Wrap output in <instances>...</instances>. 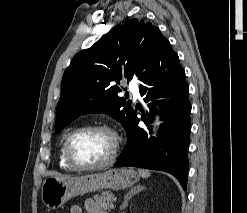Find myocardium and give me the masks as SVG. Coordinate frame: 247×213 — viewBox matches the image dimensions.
<instances>
[{
	"instance_id": "myocardium-1",
	"label": "myocardium",
	"mask_w": 247,
	"mask_h": 213,
	"mask_svg": "<svg viewBox=\"0 0 247 213\" xmlns=\"http://www.w3.org/2000/svg\"><path fill=\"white\" fill-rule=\"evenodd\" d=\"M92 131H103V132H107L111 134L114 138V147H113V151L111 155L105 161L100 162V163H94V164H85V163L78 161L75 158L73 151H72V144H73L74 139L78 135L82 133H86V132H92ZM119 150H120V138L118 134L112 128H110L107 125H103V124L87 125V126L74 129L67 135L65 142H64L65 159L67 163L76 170H96V169H101V168L110 166L116 161L118 154H119Z\"/></svg>"
}]
</instances>
